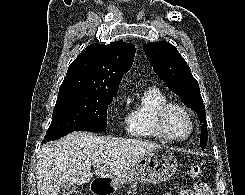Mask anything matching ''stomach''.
<instances>
[{"label":"stomach","mask_w":245,"mask_h":195,"mask_svg":"<svg viewBox=\"0 0 245 195\" xmlns=\"http://www.w3.org/2000/svg\"><path fill=\"white\" fill-rule=\"evenodd\" d=\"M178 162L170 150L156 149L147 151L126 172L110 178L109 186L118 190L133 183H161L169 180L177 171Z\"/></svg>","instance_id":"1"}]
</instances>
